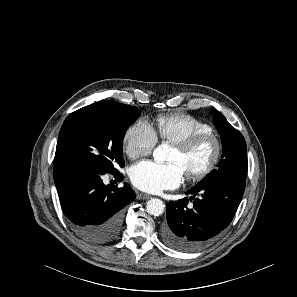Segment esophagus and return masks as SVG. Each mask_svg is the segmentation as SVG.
Segmentation results:
<instances>
[{
    "mask_svg": "<svg viewBox=\"0 0 297 297\" xmlns=\"http://www.w3.org/2000/svg\"><path fill=\"white\" fill-rule=\"evenodd\" d=\"M136 198L138 200H145V199L151 198V195L146 194V193H142V192H138L137 195H136Z\"/></svg>",
    "mask_w": 297,
    "mask_h": 297,
    "instance_id": "obj_1",
    "label": "esophagus"
}]
</instances>
